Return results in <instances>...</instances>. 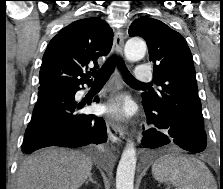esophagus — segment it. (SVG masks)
I'll return each instance as SVG.
<instances>
[{"mask_svg":"<svg viewBox=\"0 0 223 189\" xmlns=\"http://www.w3.org/2000/svg\"><path fill=\"white\" fill-rule=\"evenodd\" d=\"M124 47V34L121 29H117L114 34L113 53L116 56H122ZM115 84L119 85V73H115ZM109 139L114 142H120L123 138V131L118 122L111 116L105 118Z\"/></svg>","mask_w":223,"mask_h":189,"instance_id":"34e87169","label":"esophagus"}]
</instances>
